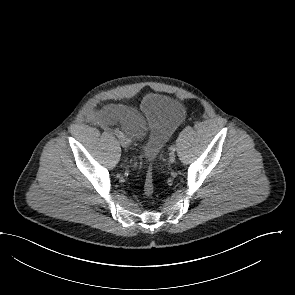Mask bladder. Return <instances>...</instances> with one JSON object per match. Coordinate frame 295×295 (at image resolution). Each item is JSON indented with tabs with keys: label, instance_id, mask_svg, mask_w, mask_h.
<instances>
[{
	"label": "bladder",
	"instance_id": "31cf9c89",
	"mask_svg": "<svg viewBox=\"0 0 295 295\" xmlns=\"http://www.w3.org/2000/svg\"><path fill=\"white\" fill-rule=\"evenodd\" d=\"M140 114L150 123L148 135L141 145V155L151 161L157 157L175 127L183 120L185 109L172 96L149 94L142 101Z\"/></svg>",
	"mask_w": 295,
	"mask_h": 295
}]
</instances>
